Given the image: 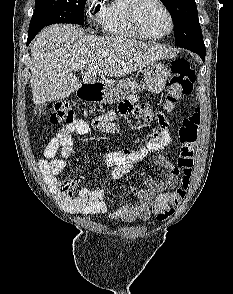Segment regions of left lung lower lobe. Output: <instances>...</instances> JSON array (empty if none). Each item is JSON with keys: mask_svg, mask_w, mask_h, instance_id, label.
Masks as SVG:
<instances>
[{"mask_svg": "<svg viewBox=\"0 0 233 294\" xmlns=\"http://www.w3.org/2000/svg\"><path fill=\"white\" fill-rule=\"evenodd\" d=\"M201 58H202V59H204V58H205V53H203V54H202Z\"/></svg>", "mask_w": 233, "mask_h": 294, "instance_id": "1", "label": "left lung lower lobe"}]
</instances>
